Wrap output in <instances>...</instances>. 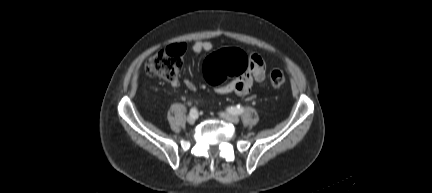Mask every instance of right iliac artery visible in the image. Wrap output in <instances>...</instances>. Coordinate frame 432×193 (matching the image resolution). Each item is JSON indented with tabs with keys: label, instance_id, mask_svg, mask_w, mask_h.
Returning <instances> with one entry per match:
<instances>
[{
	"label": "right iliac artery",
	"instance_id": "1",
	"mask_svg": "<svg viewBox=\"0 0 432 193\" xmlns=\"http://www.w3.org/2000/svg\"><path fill=\"white\" fill-rule=\"evenodd\" d=\"M190 116H197V109L195 108V107H193V108H191V110H190Z\"/></svg>",
	"mask_w": 432,
	"mask_h": 193
}]
</instances>
